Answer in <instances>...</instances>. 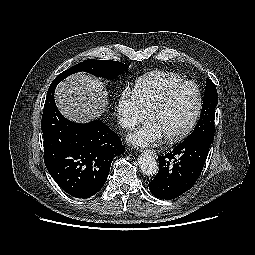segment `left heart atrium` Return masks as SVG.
<instances>
[{"instance_id": "1", "label": "left heart atrium", "mask_w": 255, "mask_h": 255, "mask_svg": "<svg viewBox=\"0 0 255 255\" xmlns=\"http://www.w3.org/2000/svg\"><path fill=\"white\" fill-rule=\"evenodd\" d=\"M164 137L161 128L152 120L146 122L142 127L131 132L127 141L136 147H146L157 144Z\"/></svg>"}]
</instances>
